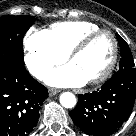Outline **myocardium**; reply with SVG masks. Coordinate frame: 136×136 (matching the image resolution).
<instances>
[{
  "label": "myocardium",
  "instance_id": "obj_1",
  "mask_svg": "<svg viewBox=\"0 0 136 136\" xmlns=\"http://www.w3.org/2000/svg\"><path fill=\"white\" fill-rule=\"evenodd\" d=\"M103 34L109 35L112 39L113 42L112 58L106 69L101 74L87 81L89 84H99L104 82L114 71L119 56V44L115 34L107 29H99L91 33H88L87 35L82 37L67 54V59L69 62H71L77 55L82 53L95 38Z\"/></svg>",
  "mask_w": 136,
  "mask_h": 136
}]
</instances>
